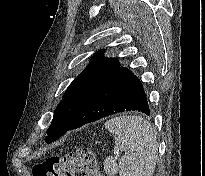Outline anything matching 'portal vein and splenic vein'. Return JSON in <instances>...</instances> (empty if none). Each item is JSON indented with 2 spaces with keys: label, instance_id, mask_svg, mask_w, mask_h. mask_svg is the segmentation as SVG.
Returning a JSON list of instances; mask_svg holds the SVG:
<instances>
[{
  "label": "portal vein and splenic vein",
  "instance_id": "1",
  "mask_svg": "<svg viewBox=\"0 0 205 176\" xmlns=\"http://www.w3.org/2000/svg\"><path fill=\"white\" fill-rule=\"evenodd\" d=\"M119 156V153L118 152H116V157H118Z\"/></svg>",
  "mask_w": 205,
  "mask_h": 176
}]
</instances>
